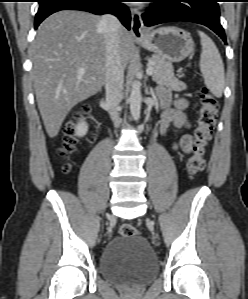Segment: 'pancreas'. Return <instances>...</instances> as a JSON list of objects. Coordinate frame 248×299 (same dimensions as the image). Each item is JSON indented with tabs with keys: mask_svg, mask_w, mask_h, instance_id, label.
Returning <instances> with one entry per match:
<instances>
[{
	"mask_svg": "<svg viewBox=\"0 0 248 299\" xmlns=\"http://www.w3.org/2000/svg\"><path fill=\"white\" fill-rule=\"evenodd\" d=\"M151 61L152 63L149 66L154 69L152 74L153 81L158 84H164L174 91L186 89V85L175 77L173 66L169 61L157 55H153Z\"/></svg>",
	"mask_w": 248,
	"mask_h": 299,
	"instance_id": "1",
	"label": "pancreas"
}]
</instances>
